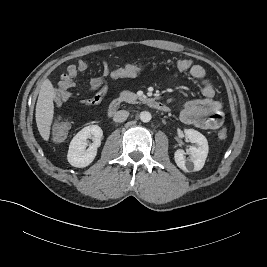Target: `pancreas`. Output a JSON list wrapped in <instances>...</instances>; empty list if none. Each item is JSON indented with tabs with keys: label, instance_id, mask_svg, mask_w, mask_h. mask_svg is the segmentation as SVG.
Segmentation results:
<instances>
[{
	"label": "pancreas",
	"instance_id": "1",
	"mask_svg": "<svg viewBox=\"0 0 267 267\" xmlns=\"http://www.w3.org/2000/svg\"><path fill=\"white\" fill-rule=\"evenodd\" d=\"M138 99V96L130 91H123L120 93L118 100L119 101H125L128 103H135Z\"/></svg>",
	"mask_w": 267,
	"mask_h": 267
}]
</instances>
